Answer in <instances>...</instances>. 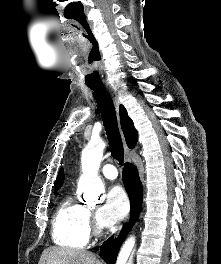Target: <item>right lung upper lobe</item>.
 <instances>
[{
    "label": "right lung upper lobe",
    "mask_w": 221,
    "mask_h": 264,
    "mask_svg": "<svg viewBox=\"0 0 221 264\" xmlns=\"http://www.w3.org/2000/svg\"><path fill=\"white\" fill-rule=\"evenodd\" d=\"M120 112V121H121V127L127 142V145L129 148L135 147L137 140H138V133L136 129L134 128L133 122L131 118L128 116L127 111L123 105H120L119 107ZM64 180V173L63 170H61L60 175L57 177L55 186L56 190H58Z\"/></svg>",
    "instance_id": "right-lung-upper-lobe-1"
}]
</instances>
